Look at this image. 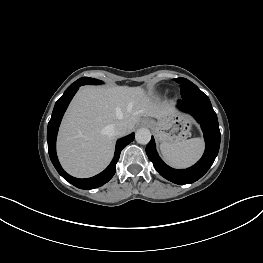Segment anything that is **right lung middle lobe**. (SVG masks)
Masks as SVG:
<instances>
[{
    "mask_svg": "<svg viewBox=\"0 0 263 263\" xmlns=\"http://www.w3.org/2000/svg\"><path fill=\"white\" fill-rule=\"evenodd\" d=\"M102 81H99L97 79H92L89 77H83L78 79L77 81H75L72 85L74 84H80V85H84V84H101ZM72 85H70L69 87H71Z\"/></svg>",
    "mask_w": 263,
    "mask_h": 263,
    "instance_id": "dd1d6c3e",
    "label": "right lung middle lobe"
}]
</instances>
